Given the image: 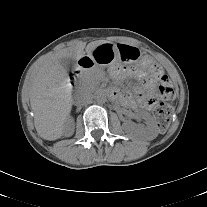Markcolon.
Here are the masks:
<instances>
[{"instance_id": "colon-1", "label": "colon", "mask_w": 207, "mask_h": 207, "mask_svg": "<svg viewBox=\"0 0 207 207\" xmlns=\"http://www.w3.org/2000/svg\"><path fill=\"white\" fill-rule=\"evenodd\" d=\"M149 71L152 75L157 76L161 73L162 68L159 64L154 63L150 66ZM156 97L161 102L154 110V116L157 126L161 132H165L171 122L172 108L166 103L175 97V90L167 76L160 78L159 85L156 90Z\"/></svg>"}]
</instances>
